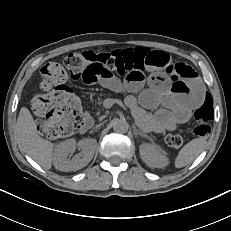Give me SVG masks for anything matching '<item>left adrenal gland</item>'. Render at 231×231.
I'll list each match as a JSON object with an SVG mask.
<instances>
[{
	"label": "left adrenal gland",
	"instance_id": "1",
	"mask_svg": "<svg viewBox=\"0 0 231 231\" xmlns=\"http://www.w3.org/2000/svg\"><path fill=\"white\" fill-rule=\"evenodd\" d=\"M134 135L135 137H137L138 135H140L141 137H146L149 138L146 134H144L143 132H141L140 130H138L135 126H134Z\"/></svg>",
	"mask_w": 231,
	"mask_h": 231
}]
</instances>
